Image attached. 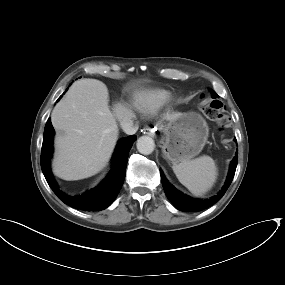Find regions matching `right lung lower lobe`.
Here are the masks:
<instances>
[{"mask_svg": "<svg viewBox=\"0 0 285 285\" xmlns=\"http://www.w3.org/2000/svg\"><path fill=\"white\" fill-rule=\"evenodd\" d=\"M53 136L54 129L51 124V119H48L43 136L41 168L45 179L53 192L65 204L83 211H100L110 206L123 185L128 154L132 144L136 140V136L131 135L118 141L112 158V170L110 173L95 189L80 196H68L64 194L60 191L52 176L50 159L53 153Z\"/></svg>", "mask_w": 285, "mask_h": 285, "instance_id": "98d812e1", "label": "right lung lower lobe"}]
</instances>
